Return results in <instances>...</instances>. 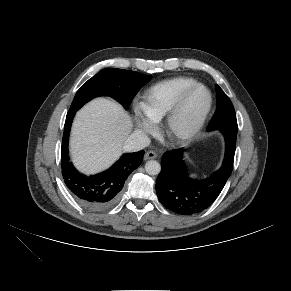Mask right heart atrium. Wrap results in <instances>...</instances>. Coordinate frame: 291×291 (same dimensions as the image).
<instances>
[{
    "instance_id": "1",
    "label": "right heart atrium",
    "mask_w": 291,
    "mask_h": 291,
    "mask_svg": "<svg viewBox=\"0 0 291 291\" xmlns=\"http://www.w3.org/2000/svg\"><path fill=\"white\" fill-rule=\"evenodd\" d=\"M134 118L138 129L143 134H151L155 131V122L150 120L142 110H136Z\"/></svg>"
}]
</instances>
